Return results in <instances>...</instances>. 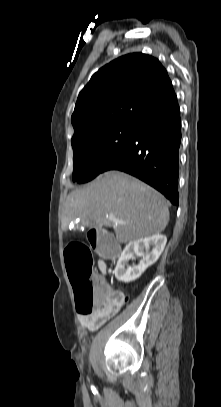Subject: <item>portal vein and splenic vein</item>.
Instances as JSON below:
<instances>
[{
  "label": "portal vein and splenic vein",
  "instance_id": "1",
  "mask_svg": "<svg viewBox=\"0 0 221 407\" xmlns=\"http://www.w3.org/2000/svg\"><path fill=\"white\" fill-rule=\"evenodd\" d=\"M107 218H109V219H111V220H114L115 222L120 223V224H124V225L126 224V223L117 221V220L115 219L114 215H107Z\"/></svg>",
  "mask_w": 221,
  "mask_h": 407
}]
</instances>
